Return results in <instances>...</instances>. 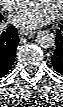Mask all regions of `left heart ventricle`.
Instances as JSON below:
<instances>
[{"instance_id":"obj_1","label":"left heart ventricle","mask_w":63,"mask_h":107,"mask_svg":"<svg viewBox=\"0 0 63 107\" xmlns=\"http://www.w3.org/2000/svg\"><path fill=\"white\" fill-rule=\"evenodd\" d=\"M39 3L43 5L53 15L59 8L60 0H39Z\"/></svg>"}]
</instances>
